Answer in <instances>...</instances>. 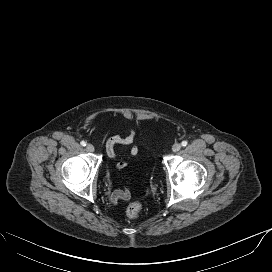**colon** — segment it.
I'll return each instance as SVG.
<instances>
[{
    "label": "colon",
    "instance_id": "5ec220e1",
    "mask_svg": "<svg viewBox=\"0 0 272 272\" xmlns=\"http://www.w3.org/2000/svg\"><path fill=\"white\" fill-rule=\"evenodd\" d=\"M142 210V205L139 202H132L126 209V216L129 219H135Z\"/></svg>",
    "mask_w": 272,
    "mask_h": 272
}]
</instances>
